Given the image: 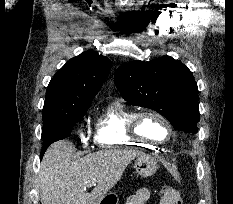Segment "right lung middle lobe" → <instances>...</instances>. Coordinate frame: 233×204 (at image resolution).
<instances>
[{"label": "right lung middle lobe", "instance_id": "right-lung-middle-lobe-1", "mask_svg": "<svg viewBox=\"0 0 233 204\" xmlns=\"http://www.w3.org/2000/svg\"><path fill=\"white\" fill-rule=\"evenodd\" d=\"M87 110L70 113L61 117L43 120V148L49 147L54 141L66 138L70 135L72 128L80 122Z\"/></svg>", "mask_w": 233, "mask_h": 204}]
</instances>
